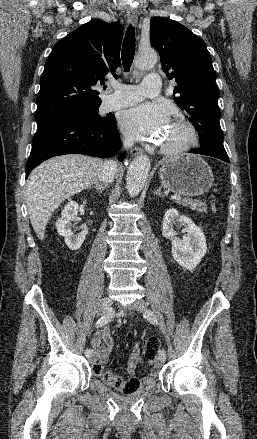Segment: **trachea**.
Returning <instances> with one entry per match:
<instances>
[{
    "label": "trachea",
    "mask_w": 257,
    "mask_h": 439,
    "mask_svg": "<svg viewBox=\"0 0 257 439\" xmlns=\"http://www.w3.org/2000/svg\"><path fill=\"white\" fill-rule=\"evenodd\" d=\"M135 55V32L134 27L129 26L123 41L122 47V64L125 72L130 70Z\"/></svg>",
    "instance_id": "obj_1"
}]
</instances>
